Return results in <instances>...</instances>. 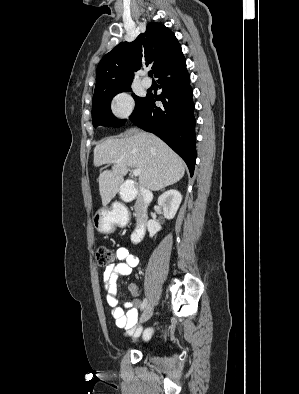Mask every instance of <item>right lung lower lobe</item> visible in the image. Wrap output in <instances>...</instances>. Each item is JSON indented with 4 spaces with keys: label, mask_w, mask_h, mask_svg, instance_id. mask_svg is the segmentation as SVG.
Here are the masks:
<instances>
[{
    "label": "right lung lower lobe",
    "mask_w": 299,
    "mask_h": 394,
    "mask_svg": "<svg viewBox=\"0 0 299 394\" xmlns=\"http://www.w3.org/2000/svg\"><path fill=\"white\" fill-rule=\"evenodd\" d=\"M156 77L159 78L162 93L159 96L147 94L129 119L166 142L183 158L192 176L196 160L194 104L184 56L164 68ZM156 100L163 105L157 107Z\"/></svg>",
    "instance_id": "right-lung-lower-lobe-1"
}]
</instances>
